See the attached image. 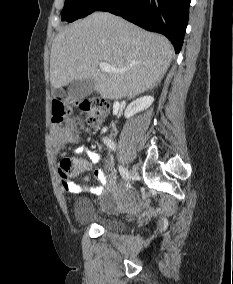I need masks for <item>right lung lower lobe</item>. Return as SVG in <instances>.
<instances>
[{
    "instance_id": "98d812e1",
    "label": "right lung lower lobe",
    "mask_w": 233,
    "mask_h": 284,
    "mask_svg": "<svg viewBox=\"0 0 233 284\" xmlns=\"http://www.w3.org/2000/svg\"><path fill=\"white\" fill-rule=\"evenodd\" d=\"M191 0H107L96 11H106L150 31L165 35L179 53L188 24Z\"/></svg>"
}]
</instances>
